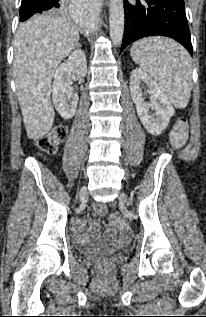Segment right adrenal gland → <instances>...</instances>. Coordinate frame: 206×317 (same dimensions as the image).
Wrapping results in <instances>:
<instances>
[{"mask_svg":"<svg viewBox=\"0 0 206 317\" xmlns=\"http://www.w3.org/2000/svg\"><path fill=\"white\" fill-rule=\"evenodd\" d=\"M81 46H82V45L78 43L77 47H79V48H80Z\"/></svg>","mask_w":206,"mask_h":317,"instance_id":"right-adrenal-gland-1","label":"right adrenal gland"}]
</instances>
